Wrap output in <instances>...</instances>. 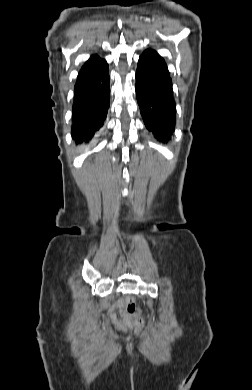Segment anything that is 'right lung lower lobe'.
Returning a JSON list of instances; mask_svg holds the SVG:
<instances>
[{
  "label": "right lung lower lobe",
  "instance_id": "1",
  "mask_svg": "<svg viewBox=\"0 0 252 390\" xmlns=\"http://www.w3.org/2000/svg\"><path fill=\"white\" fill-rule=\"evenodd\" d=\"M108 65L95 74L79 75L74 86L72 138L91 139L103 126L110 104Z\"/></svg>",
  "mask_w": 252,
  "mask_h": 390
}]
</instances>
